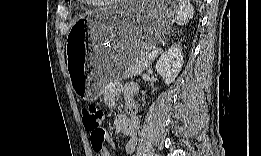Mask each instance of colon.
Wrapping results in <instances>:
<instances>
[{"instance_id":"obj_1","label":"colon","mask_w":261,"mask_h":156,"mask_svg":"<svg viewBox=\"0 0 261 156\" xmlns=\"http://www.w3.org/2000/svg\"><path fill=\"white\" fill-rule=\"evenodd\" d=\"M81 114L84 128L90 133L92 148L97 151L105 138V132L101 127L103 110L94 104H84L81 106Z\"/></svg>"}]
</instances>
